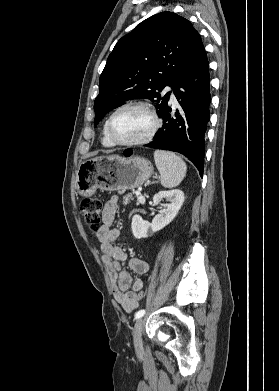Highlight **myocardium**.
Masks as SVG:
<instances>
[{
    "mask_svg": "<svg viewBox=\"0 0 279 391\" xmlns=\"http://www.w3.org/2000/svg\"><path fill=\"white\" fill-rule=\"evenodd\" d=\"M126 108H138V109H142L145 112H147L152 120V126H151L150 130L143 137H141L139 139L132 140V141H119L113 136V134L111 132L112 121L118 112H120L121 110L126 109ZM160 126H161V120L158 117V115H157L155 109L152 107V105H150L149 103L144 102V101H130V102H127V103L120 105L110 114V116L106 122V134H107L108 139L115 146H126V147L138 146V145H143V144L150 142L154 138V136L157 134Z\"/></svg>",
    "mask_w": 279,
    "mask_h": 391,
    "instance_id": "f54148a6",
    "label": "myocardium"
}]
</instances>
